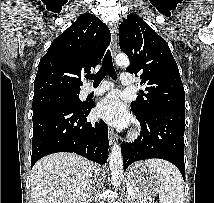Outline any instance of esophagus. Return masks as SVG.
<instances>
[{"mask_svg": "<svg viewBox=\"0 0 214 203\" xmlns=\"http://www.w3.org/2000/svg\"><path fill=\"white\" fill-rule=\"evenodd\" d=\"M110 31H111L112 56L115 57L116 51H117V28H116V26L115 25L111 26ZM108 136H109L110 144H113V142L115 141V134H114L113 130H109Z\"/></svg>", "mask_w": 214, "mask_h": 203, "instance_id": "1", "label": "esophagus"}]
</instances>
